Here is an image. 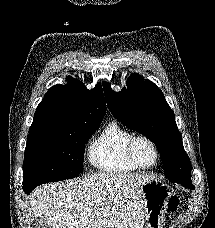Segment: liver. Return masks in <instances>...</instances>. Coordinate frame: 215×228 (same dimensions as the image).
<instances>
[{"label": "liver", "mask_w": 215, "mask_h": 228, "mask_svg": "<svg viewBox=\"0 0 215 228\" xmlns=\"http://www.w3.org/2000/svg\"><path fill=\"white\" fill-rule=\"evenodd\" d=\"M151 176L99 172L38 186L31 212L50 228H144L141 188Z\"/></svg>", "instance_id": "1"}]
</instances>
